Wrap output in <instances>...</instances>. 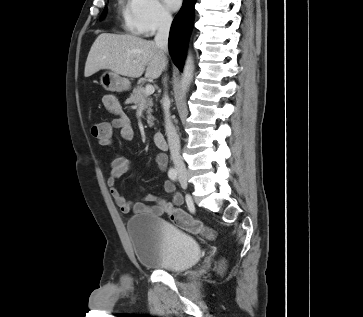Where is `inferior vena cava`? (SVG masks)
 I'll list each match as a JSON object with an SVG mask.
<instances>
[{
  "mask_svg": "<svg viewBox=\"0 0 363 317\" xmlns=\"http://www.w3.org/2000/svg\"><path fill=\"white\" fill-rule=\"evenodd\" d=\"M171 23H172V17L168 14H163L160 17L158 31L154 38L156 46L164 54L168 52V37H169ZM165 82L166 78L164 79V83ZM169 108H170V100L168 95L165 93L163 97V110L165 116V131L167 135L171 158L178 172H185L186 167L180 155V140L177 131L171 121Z\"/></svg>",
  "mask_w": 363,
  "mask_h": 317,
  "instance_id": "inferior-vena-cava-1",
  "label": "inferior vena cava"
}]
</instances>
